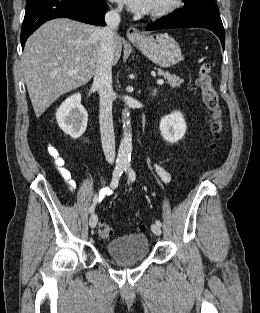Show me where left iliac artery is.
<instances>
[{"instance_id":"44dca946","label":"left iliac artery","mask_w":260,"mask_h":313,"mask_svg":"<svg viewBox=\"0 0 260 313\" xmlns=\"http://www.w3.org/2000/svg\"><path fill=\"white\" fill-rule=\"evenodd\" d=\"M125 171L128 172L129 179L133 182L135 180V178H136V174L133 171V169L131 168L130 164H126L125 165ZM156 224L159 225V226L162 225L160 220H156Z\"/></svg>"}]
</instances>
